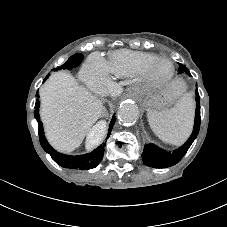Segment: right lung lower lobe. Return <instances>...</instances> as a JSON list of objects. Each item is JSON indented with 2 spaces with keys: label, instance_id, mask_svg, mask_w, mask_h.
<instances>
[{
  "label": "right lung lower lobe",
  "instance_id": "98d812e1",
  "mask_svg": "<svg viewBox=\"0 0 227 227\" xmlns=\"http://www.w3.org/2000/svg\"><path fill=\"white\" fill-rule=\"evenodd\" d=\"M37 97H39V96L37 95ZM39 106H40L39 99H37L34 115H35V118L39 125L38 133H39L40 144L43 147V149L51 155L52 159L57 164H59L60 166H62L64 168L78 169V170H88V169L95 168L103 157V154H104L103 146L100 145L96 150H94L90 153L84 154V155H80V156H69V155H65V154L55 151L48 144V142L45 138L43 125H42V122L40 121V116H39ZM114 123H115V116H113V118L110 122V127H109L107 137H109Z\"/></svg>",
  "mask_w": 227,
  "mask_h": 227
}]
</instances>
